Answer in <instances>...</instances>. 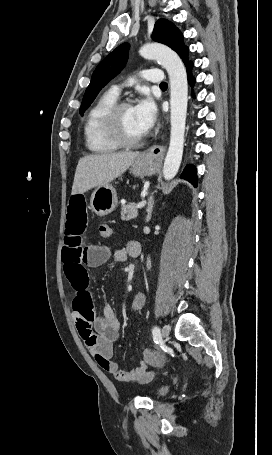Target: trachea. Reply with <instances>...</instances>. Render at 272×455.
<instances>
[{
    "mask_svg": "<svg viewBox=\"0 0 272 455\" xmlns=\"http://www.w3.org/2000/svg\"><path fill=\"white\" fill-rule=\"evenodd\" d=\"M167 86H168V85H167L166 82H162V83L160 84V87H167Z\"/></svg>",
    "mask_w": 272,
    "mask_h": 455,
    "instance_id": "3493384b",
    "label": "trachea"
}]
</instances>
